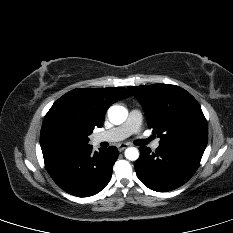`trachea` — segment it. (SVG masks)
Wrapping results in <instances>:
<instances>
[{
    "label": "trachea",
    "mask_w": 233,
    "mask_h": 233,
    "mask_svg": "<svg viewBox=\"0 0 233 233\" xmlns=\"http://www.w3.org/2000/svg\"><path fill=\"white\" fill-rule=\"evenodd\" d=\"M152 138H148V139H139L136 140L134 143L136 145L142 146V145H146Z\"/></svg>",
    "instance_id": "trachea-1"
}]
</instances>
